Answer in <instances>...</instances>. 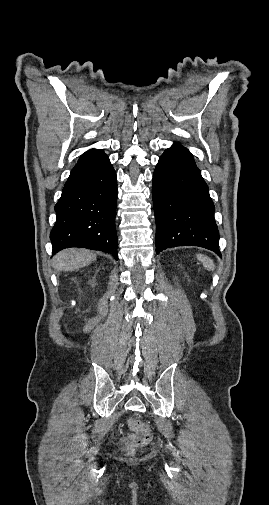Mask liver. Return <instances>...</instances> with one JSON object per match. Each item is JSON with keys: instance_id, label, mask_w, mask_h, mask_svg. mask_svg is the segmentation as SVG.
Returning <instances> with one entry per match:
<instances>
[{"instance_id": "obj_1", "label": "liver", "mask_w": 269, "mask_h": 505, "mask_svg": "<svg viewBox=\"0 0 269 505\" xmlns=\"http://www.w3.org/2000/svg\"><path fill=\"white\" fill-rule=\"evenodd\" d=\"M96 254L85 249H65L53 257V267L57 271H72L91 264Z\"/></svg>"}]
</instances>
